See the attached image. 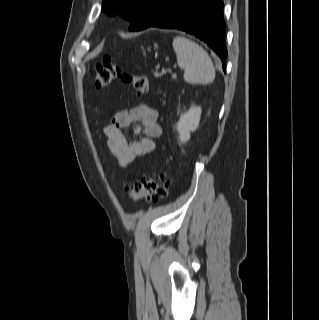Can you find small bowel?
<instances>
[{"label": "small bowel", "mask_w": 319, "mask_h": 320, "mask_svg": "<svg viewBox=\"0 0 319 320\" xmlns=\"http://www.w3.org/2000/svg\"><path fill=\"white\" fill-rule=\"evenodd\" d=\"M133 126L137 140H129L123 130ZM106 143L118 166L126 167L135 158L149 154L161 135L157 111L147 104L117 112L103 129Z\"/></svg>", "instance_id": "c3829d8e"}]
</instances>
